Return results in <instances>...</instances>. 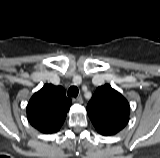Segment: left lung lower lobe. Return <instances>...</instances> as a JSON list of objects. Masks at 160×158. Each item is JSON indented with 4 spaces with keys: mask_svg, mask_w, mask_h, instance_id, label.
I'll return each mask as SVG.
<instances>
[{
    "mask_svg": "<svg viewBox=\"0 0 160 158\" xmlns=\"http://www.w3.org/2000/svg\"><path fill=\"white\" fill-rule=\"evenodd\" d=\"M98 133H100L101 135H104V136H107L108 134H106V133H104V132H99L98 131Z\"/></svg>",
    "mask_w": 160,
    "mask_h": 158,
    "instance_id": "left-lung-lower-lobe-1",
    "label": "left lung lower lobe"
}]
</instances>
